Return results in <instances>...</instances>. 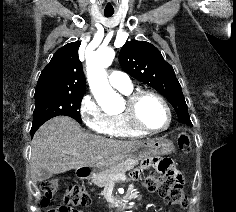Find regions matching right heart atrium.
Returning a JSON list of instances; mask_svg holds the SVG:
<instances>
[{"label":"right heart atrium","mask_w":236,"mask_h":212,"mask_svg":"<svg viewBox=\"0 0 236 212\" xmlns=\"http://www.w3.org/2000/svg\"><path fill=\"white\" fill-rule=\"evenodd\" d=\"M82 121L93 131L105 133L108 116L100 109L91 95H85L79 106Z\"/></svg>","instance_id":"right-heart-atrium-1"}]
</instances>
